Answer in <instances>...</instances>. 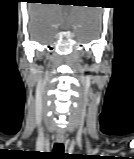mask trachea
Instances as JSON below:
<instances>
[{
	"mask_svg": "<svg viewBox=\"0 0 134 159\" xmlns=\"http://www.w3.org/2000/svg\"><path fill=\"white\" fill-rule=\"evenodd\" d=\"M64 151V145L62 143H56L54 145V153L60 155Z\"/></svg>",
	"mask_w": 134,
	"mask_h": 159,
	"instance_id": "obj_1",
	"label": "trachea"
}]
</instances>
